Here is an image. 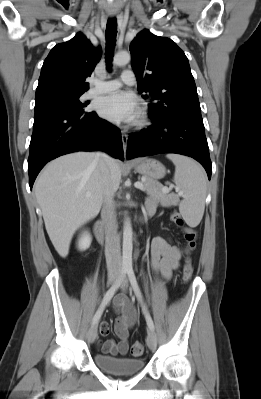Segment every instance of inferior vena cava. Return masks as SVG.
<instances>
[{"instance_id": "obj_1", "label": "inferior vena cava", "mask_w": 261, "mask_h": 399, "mask_svg": "<svg viewBox=\"0 0 261 399\" xmlns=\"http://www.w3.org/2000/svg\"><path fill=\"white\" fill-rule=\"evenodd\" d=\"M100 155L105 161L107 167H109L111 164V157L106 154ZM103 197L102 214L105 224V257L107 269L109 273H119L122 268L120 237L117 231L118 224L116 205L114 201V189L111 184L108 169L104 180Z\"/></svg>"}]
</instances>
